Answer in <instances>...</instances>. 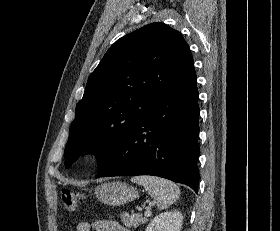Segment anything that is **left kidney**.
Listing matches in <instances>:
<instances>
[{
  "mask_svg": "<svg viewBox=\"0 0 280 231\" xmlns=\"http://www.w3.org/2000/svg\"><path fill=\"white\" fill-rule=\"evenodd\" d=\"M182 223L181 211H164L151 219L145 231H180Z\"/></svg>",
  "mask_w": 280,
  "mask_h": 231,
  "instance_id": "left-kidney-1",
  "label": "left kidney"
}]
</instances>
